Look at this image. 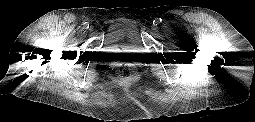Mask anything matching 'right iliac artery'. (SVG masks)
Wrapping results in <instances>:
<instances>
[{"label": "right iliac artery", "instance_id": "1", "mask_svg": "<svg viewBox=\"0 0 255 122\" xmlns=\"http://www.w3.org/2000/svg\"><path fill=\"white\" fill-rule=\"evenodd\" d=\"M84 27H85L86 29H88V28H89V23H88V22H85V23H84Z\"/></svg>", "mask_w": 255, "mask_h": 122}]
</instances>
